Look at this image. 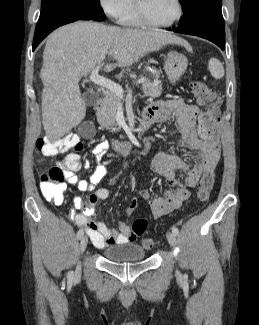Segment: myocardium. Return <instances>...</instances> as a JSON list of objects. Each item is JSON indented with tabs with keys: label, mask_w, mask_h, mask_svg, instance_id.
Listing matches in <instances>:
<instances>
[{
	"label": "myocardium",
	"mask_w": 259,
	"mask_h": 325,
	"mask_svg": "<svg viewBox=\"0 0 259 325\" xmlns=\"http://www.w3.org/2000/svg\"><path fill=\"white\" fill-rule=\"evenodd\" d=\"M174 2L177 9L176 14L170 21L165 23L155 22L149 19L143 10L140 0H136V12L141 23H143L146 26L153 27V28H169L175 25L183 16V4L181 0H174Z\"/></svg>",
	"instance_id": "1"
}]
</instances>
